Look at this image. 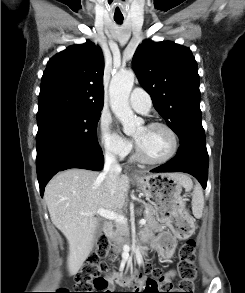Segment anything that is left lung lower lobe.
Returning <instances> with one entry per match:
<instances>
[{
    "instance_id": "left-lung-lower-lobe-1",
    "label": "left lung lower lobe",
    "mask_w": 245,
    "mask_h": 293,
    "mask_svg": "<svg viewBox=\"0 0 245 293\" xmlns=\"http://www.w3.org/2000/svg\"><path fill=\"white\" fill-rule=\"evenodd\" d=\"M151 172H185L193 175L206 188L208 153L206 143L185 141L180 143L176 156Z\"/></svg>"
}]
</instances>
